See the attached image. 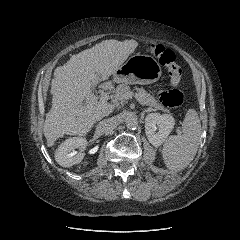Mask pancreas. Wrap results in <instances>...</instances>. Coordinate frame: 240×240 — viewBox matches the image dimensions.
Here are the masks:
<instances>
[{"mask_svg": "<svg viewBox=\"0 0 240 240\" xmlns=\"http://www.w3.org/2000/svg\"><path fill=\"white\" fill-rule=\"evenodd\" d=\"M135 89L138 91L137 95L140 96L141 100L144 102L145 105L152 107L153 110L168 111L160 103H158V101L150 93H148L147 91L141 88H135ZM115 92H116V100L119 103L124 104L126 100L124 98L125 94L131 91L127 83H122L117 86V88L115 89Z\"/></svg>", "mask_w": 240, "mask_h": 240, "instance_id": "obj_1", "label": "pancreas"}]
</instances>
